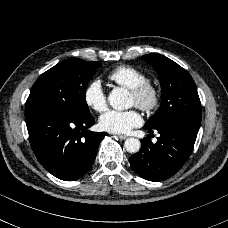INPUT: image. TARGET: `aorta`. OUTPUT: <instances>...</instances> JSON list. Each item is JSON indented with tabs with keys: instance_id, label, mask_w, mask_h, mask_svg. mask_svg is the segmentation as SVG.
Segmentation results:
<instances>
[{
	"instance_id": "aorta-1",
	"label": "aorta",
	"mask_w": 228,
	"mask_h": 228,
	"mask_svg": "<svg viewBox=\"0 0 228 228\" xmlns=\"http://www.w3.org/2000/svg\"><path fill=\"white\" fill-rule=\"evenodd\" d=\"M108 104L115 110H127L133 106V101L129 92L125 88L113 89L107 97ZM124 147L129 153H136L141 148V143L136 138H128L124 142Z\"/></svg>"
}]
</instances>
